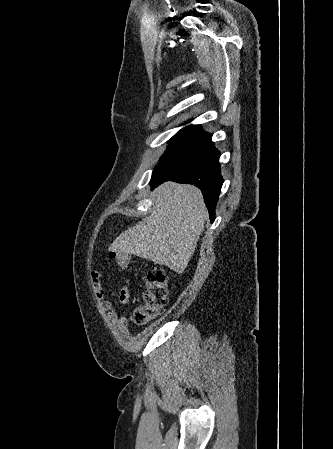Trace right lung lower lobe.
Returning <instances> with one entry per match:
<instances>
[{
    "instance_id": "1",
    "label": "right lung lower lobe",
    "mask_w": 333,
    "mask_h": 449,
    "mask_svg": "<svg viewBox=\"0 0 333 449\" xmlns=\"http://www.w3.org/2000/svg\"><path fill=\"white\" fill-rule=\"evenodd\" d=\"M211 137L212 134L201 131L173 151L154 169L150 184L152 188L167 180L194 184L202 191L210 220L213 222L223 178L220 174V153L211 141Z\"/></svg>"
}]
</instances>
